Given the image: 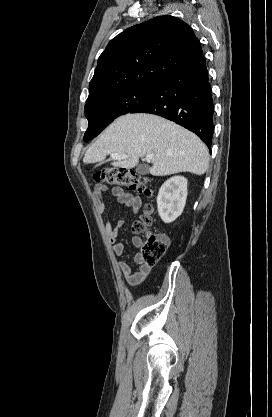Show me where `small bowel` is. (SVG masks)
<instances>
[{
    "instance_id": "obj_1",
    "label": "small bowel",
    "mask_w": 272,
    "mask_h": 417,
    "mask_svg": "<svg viewBox=\"0 0 272 417\" xmlns=\"http://www.w3.org/2000/svg\"><path fill=\"white\" fill-rule=\"evenodd\" d=\"M108 191V187L105 184L99 183L93 189V197L96 204V209L99 214L104 213L105 203L103 195ZM110 193L115 199L123 204L125 207L130 208L134 213L140 211L142 207V199L139 196H134L133 194L126 192L121 187H113L110 190ZM124 222L122 220H117L114 224L110 221H107L105 224V231L109 238V241L112 244V250L114 254L120 256L125 252V245L122 242H118L119 231L122 228ZM132 243L135 247H140L142 241L139 237H133ZM134 262L138 264V268L133 270L132 266L125 262L120 261L118 267L122 273V276L125 282L132 287L140 285L148 276L151 267L144 265L141 261V254L137 253L134 257Z\"/></svg>"
}]
</instances>
